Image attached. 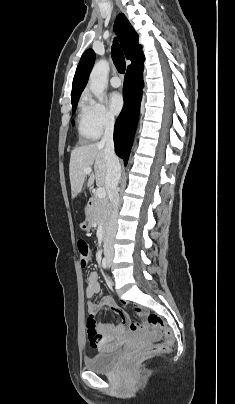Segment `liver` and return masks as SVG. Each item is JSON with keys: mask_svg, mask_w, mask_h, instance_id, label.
Returning a JSON list of instances; mask_svg holds the SVG:
<instances>
[{"mask_svg": "<svg viewBox=\"0 0 235 404\" xmlns=\"http://www.w3.org/2000/svg\"><path fill=\"white\" fill-rule=\"evenodd\" d=\"M86 168H93L86 185L89 187L96 181L98 186L106 188L107 162L103 144L92 143L72 150L69 163L72 198L82 192L87 176L84 172Z\"/></svg>", "mask_w": 235, "mask_h": 404, "instance_id": "obj_1", "label": "liver"}]
</instances>
